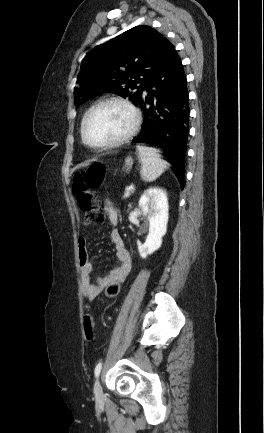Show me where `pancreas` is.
I'll use <instances>...</instances> for the list:
<instances>
[{
  "mask_svg": "<svg viewBox=\"0 0 264 433\" xmlns=\"http://www.w3.org/2000/svg\"><path fill=\"white\" fill-rule=\"evenodd\" d=\"M130 196V193L128 194V195H126L125 193H124V195L122 196V198L123 199H126V198H128Z\"/></svg>",
  "mask_w": 264,
  "mask_h": 433,
  "instance_id": "1",
  "label": "pancreas"
}]
</instances>
